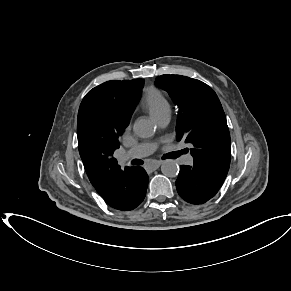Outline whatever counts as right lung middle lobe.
Instances as JSON below:
<instances>
[{"label":"right lung middle lobe","mask_w":291,"mask_h":291,"mask_svg":"<svg viewBox=\"0 0 291 291\" xmlns=\"http://www.w3.org/2000/svg\"><path fill=\"white\" fill-rule=\"evenodd\" d=\"M117 120L115 118L112 117L111 114H109L108 118H107V127L109 129L110 132H112L113 134L117 135ZM119 131V130H118ZM123 129L120 130V134H122Z\"/></svg>","instance_id":"dd1d6c3e"}]
</instances>
